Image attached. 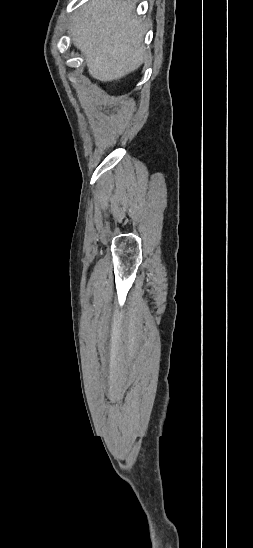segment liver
<instances>
[{"label": "liver", "instance_id": "6515ba94", "mask_svg": "<svg viewBox=\"0 0 253 548\" xmlns=\"http://www.w3.org/2000/svg\"><path fill=\"white\" fill-rule=\"evenodd\" d=\"M133 1L91 0L74 16L68 33L97 80H117L143 63L146 27Z\"/></svg>", "mask_w": 253, "mask_h": 548}]
</instances>
